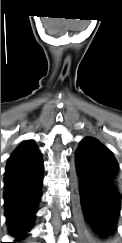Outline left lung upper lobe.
<instances>
[{
    "label": "left lung upper lobe",
    "mask_w": 122,
    "mask_h": 243,
    "mask_svg": "<svg viewBox=\"0 0 122 243\" xmlns=\"http://www.w3.org/2000/svg\"><path fill=\"white\" fill-rule=\"evenodd\" d=\"M104 147L98 140L94 138H85L80 142V145L76 152L75 164L78 163L79 159L95 149Z\"/></svg>",
    "instance_id": "5c2ea615"
}]
</instances>
